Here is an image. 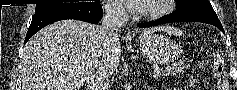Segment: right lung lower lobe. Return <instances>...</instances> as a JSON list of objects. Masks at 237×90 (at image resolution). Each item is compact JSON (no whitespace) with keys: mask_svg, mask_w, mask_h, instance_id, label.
Wrapping results in <instances>:
<instances>
[{"mask_svg":"<svg viewBox=\"0 0 237 90\" xmlns=\"http://www.w3.org/2000/svg\"><path fill=\"white\" fill-rule=\"evenodd\" d=\"M102 13V7L100 5V2H98L92 5L66 6L51 11L34 14L28 32L26 34L24 44L37 31L53 22L64 19H76L93 24H98V22L102 18Z\"/></svg>","mask_w":237,"mask_h":90,"instance_id":"98d812e1","label":"right lung lower lobe"}]
</instances>
